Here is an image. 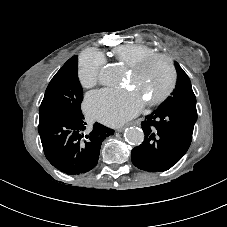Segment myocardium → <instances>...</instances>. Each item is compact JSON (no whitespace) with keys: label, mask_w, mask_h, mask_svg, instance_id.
Masks as SVG:
<instances>
[{"label":"myocardium","mask_w":227,"mask_h":227,"mask_svg":"<svg viewBox=\"0 0 227 227\" xmlns=\"http://www.w3.org/2000/svg\"><path fill=\"white\" fill-rule=\"evenodd\" d=\"M155 60H163V61L166 62V64L168 65L169 71H170V82H169L168 87L164 90V92H162L156 98L148 101V104L151 105V106H154V105L162 103L173 92V90H174V88L176 86V82H177V72H176V68H175L174 62L172 61V59L169 56L164 55V54H157L156 53V54L147 56V57L139 60L138 62H136L132 66H130L131 71L133 73L139 74L147 66H149L152 62H154Z\"/></svg>","instance_id":"obj_1"}]
</instances>
